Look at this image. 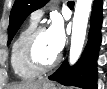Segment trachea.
Returning a JSON list of instances; mask_svg holds the SVG:
<instances>
[{
    "label": "trachea",
    "instance_id": "trachea-1",
    "mask_svg": "<svg viewBox=\"0 0 107 89\" xmlns=\"http://www.w3.org/2000/svg\"><path fill=\"white\" fill-rule=\"evenodd\" d=\"M68 5H69V6H73V5H74V1H69V2H68Z\"/></svg>",
    "mask_w": 107,
    "mask_h": 89
}]
</instances>
